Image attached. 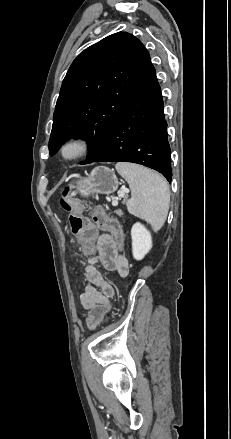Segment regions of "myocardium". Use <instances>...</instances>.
Wrapping results in <instances>:
<instances>
[{
    "label": "myocardium",
    "instance_id": "1",
    "mask_svg": "<svg viewBox=\"0 0 231 439\" xmlns=\"http://www.w3.org/2000/svg\"><path fill=\"white\" fill-rule=\"evenodd\" d=\"M90 143L83 137H71L63 141L58 148V156L63 162H74L88 154Z\"/></svg>",
    "mask_w": 231,
    "mask_h": 439
}]
</instances>
